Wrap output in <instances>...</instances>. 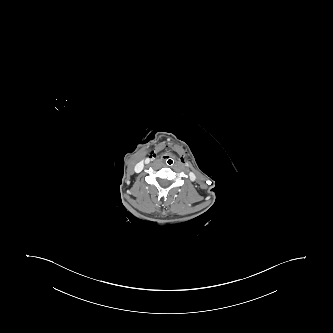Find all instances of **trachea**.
<instances>
[{"label": "trachea", "mask_w": 333, "mask_h": 333, "mask_svg": "<svg viewBox=\"0 0 333 333\" xmlns=\"http://www.w3.org/2000/svg\"><path fill=\"white\" fill-rule=\"evenodd\" d=\"M162 161L167 168H172L176 164V158L171 153L166 154Z\"/></svg>", "instance_id": "trachea-1"}]
</instances>
